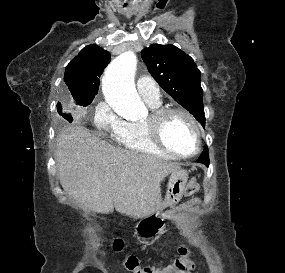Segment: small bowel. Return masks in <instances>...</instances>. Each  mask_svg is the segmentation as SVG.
Instances as JSON below:
<instances>
[{"label":"small bowel","mask_w":285,"mask_h":273,"mask_svg":"<svg viewBox=\"0 0 285 273\" xmlns=\"http://www.w3.org/2000/svg\"><path fill=\"white\" fill-rule=\"evenodd\" d=\"M170 266H166L165 268H169ZM160 273H162V272H160Z\"/></svg>","instance_id":"small-bowel-1"}]
</instances>
